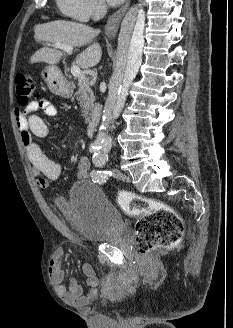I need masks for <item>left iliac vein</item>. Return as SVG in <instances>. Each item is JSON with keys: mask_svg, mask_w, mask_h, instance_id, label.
Instances as JSON below:
<instances>
[{"mask_svg": "<svg viewBox=\"0 0 233 328\" xmlns=\"http://www.w3.org/2000/svg\"><path fill=\"white\" fill-rule=\"evenodd\" d=\"M113 175L115 178L119 179V180H123V181H129V177H127L123 172H121L119 169L117 168H113L112 169Z\"/></svg>", "mask_w": 233, "mask_h": 328, "instance_id": "1", "label": "left iliac vein"}]
</instances>
